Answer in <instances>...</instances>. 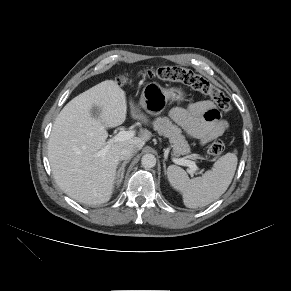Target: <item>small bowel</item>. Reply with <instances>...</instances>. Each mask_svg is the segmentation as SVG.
<instances>
[{
	"instance_id": "1",
	"label": "small bowel",
	"mask_w": 291,
	"mask_h": 291,
	"mask_svg": "<svg viewBox=\"0 0 291 291\" xmlns=\"http://www.w3.org/2000/svg\"><path fill=\"white\" fill-rule=\"evenodd\" d=\"M171 116L203 144L221 136L227 128V123L210 101L194 102L188 109L174 108Z\"/></svg>"
}]
</instances>
